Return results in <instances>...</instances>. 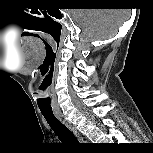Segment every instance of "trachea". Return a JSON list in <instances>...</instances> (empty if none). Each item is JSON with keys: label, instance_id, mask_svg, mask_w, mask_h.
Listing matches in <instances>:
<instances>
[{"label": "trachea", "instance_id": "1", "mask_svg": "<svg viewBox=\"0 0 153 153\" xmlns=\"http://www.w3.org/2000/svg\"><path fill=\"white\" fill-rule=\"evenodd\" d=\"M41 112L48 124L50 125L51 129L63 143L69 145L79 143L74 134L61 121L56 118L53 112Z\"/></svg>", "mask_w": 153, "mask_h": 153}]
</instances>
